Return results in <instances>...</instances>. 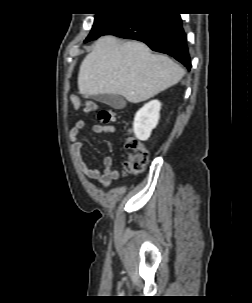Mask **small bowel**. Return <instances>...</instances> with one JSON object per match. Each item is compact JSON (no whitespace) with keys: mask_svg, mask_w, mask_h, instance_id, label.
<instances>
[{"mask_svg":"<svg viewBox=\"0 0 252 303\" xmlns=\"http://www.w3.org/2000/svg\"><path fill=\"white\" fill-rule=\"evenodd\" d=\"M86 122L83 119L78 120L75 125L70 130V138L72 139V153L75 162L81 171L92 181L102 185L103 187H108L113 180L119 177V171L114 169L113 158L111 156H105L103 158V168L102 171L89 165L83 157V150L85 147L84 141L79 139L80 131L85 127ZM92 130L96 133H114L115 127L113 125H93Z\"/></svg>","mask_w":252,"mask_h":303,"instance_id":"1","label":"small bowel"}]
</instances>
